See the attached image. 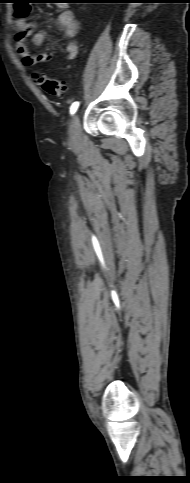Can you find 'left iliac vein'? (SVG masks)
<instances>
[{"mask_svg": "<svg viewBox=\"0 0 190 483\" xmlns=\"http://www.w3.org/2000/svg\"><path fill=\"white\" fill-rule=\"evenodd\" d=\"M81 140V125L78 113H76L71 121L70 143L77 144Z\"/></svg>", "mask_w": 190, "mask_h": 483, "instance_id": "4c4485c4", "label": "left iliac vein"}]
</instances>
